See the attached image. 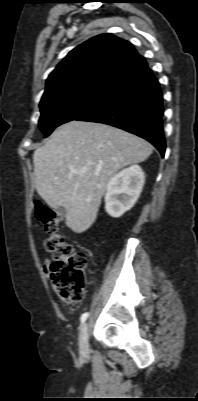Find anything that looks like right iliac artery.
I'll return each mask as SVG.
<instances>
[{"label":"right iliac artery","mask_w":198,"mask_h":401,"mask_svg":"<svg viewBox=\"0 0 198 401\" xmlns=\"http://www.w3.org/2000/svg\"><path fill=\"white\" fill-rule=\"evenodd\" d=\"M88 315H89L88 312H85V313L82 314L81 319H80L81 323L85 322V320L87 319Z\"/></svg>","instance_id":"82829eb1"}]
</instances>
